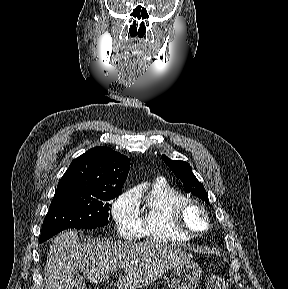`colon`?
Segmentation results:
<instances>
[{
    "mask_svg": "<svg viewBox=\"0 0 288 289\" xmlns=\"http://www.w3.org/2000/svg\"><path fill=\"white\" fill-rule=\"evenodd\" d=\"M206 289H229V286L224 277L209 275L206 279Z\"/></svg>",
    "mask_w": 288,
    "mask_h": 289,
    "instance_id": "1",
    "label": "colon"
}]
</instances>
